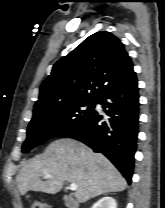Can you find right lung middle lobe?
Segmentation results:
<instances>
[{
	"instance_id": "right-lung-middle-lobe-1",
	"label": "right lung middle lobe",
	"mask_w": 165,
	"mask_h": 208,
	"mask_svg": "<svg viewBox=\"0 0 165 208\" xmlns=\"http://www.w3.org/2000/svg\"><path fill=\"white\" fill-rule=\"evenodd\" d=\"M95 104V100H73L35 110L22 152H28L54 137L68 136L75 132L91 116Z\"/></svg>"
}]
</instances>
